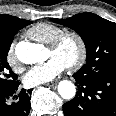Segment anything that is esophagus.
<instances>
[{"label":"esophagus","mask_w":116,"mask_h":116,"mask_svg":"<svg viewBox=\"0 0 116 116\" xmlns=\"http://www.w3.org/2000/svg\"><path fill=\"white\" fill-rule=\"evenodd\" d=\"M46 85L49 86V87H51V86H54L55 83L54 82H50V83H47Z\"/></svg>","instance_id":"esophagus-1"}]
</instances>
